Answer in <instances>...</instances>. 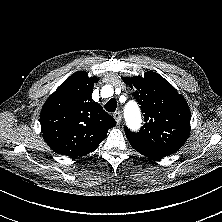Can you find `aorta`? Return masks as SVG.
I'll return each mask as SVG.
<instances>
[{
    "instance_id": "aorta-1",
    "label": "aorta",
    "mask_w": 222,
    "mask_h": 222,
    "mask_svg": "<svg viewBox=\"0 0 222 222\" xmlns=\"http://www.w3.org/2000/svg\"><path fill=\"white\" fill-rule=\"evenodd\" d=\"M127 121L131 125L132 128H138L141 123L140 112L137 107L130 106L127 109Z\"/></svg>"
}]
</instances>
